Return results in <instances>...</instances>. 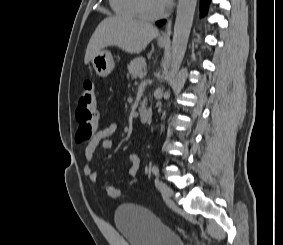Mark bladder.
Segmentation results:
<instances>
[{"label": "bladder", "mask_w": 283, "mask_h": 245, "mask_svg": "<svg viewBox=\"0 0 283 245\" xmlns=\"http://www.w3.org/2000/svg\"><path fill=\"white\" fill-rule=\"evenodd\" d=\"M114 222L129 245H184L180 235L140 205L119 206L114 213Z\"/></svg>", "instance_id": "bladder-1"}]
</instances>
